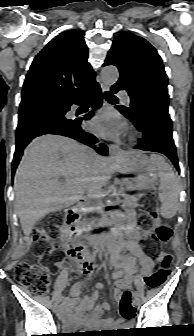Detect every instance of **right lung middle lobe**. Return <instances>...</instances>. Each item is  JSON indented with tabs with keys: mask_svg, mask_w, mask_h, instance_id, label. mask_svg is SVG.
I'll return each instance as SVG.
<instances>
[{
	"mask_svg": "<svg viewBox=\"0 0 194 336\" xmlns=\"http://www.w3.org/2000/svg\"><path fill=\"white\" fill-rule=\"evenodd\" d=\"M55 108H41V109H23L19 110V120L35 117L38 115H48L54 112Z\"/></svg>",
	"mask_w": 194,
	"mask_h": 336,
	"instance_id": "right-lung-middle-lobe-1",
	"label": "right lung middle lobe"
}]
</instances>
